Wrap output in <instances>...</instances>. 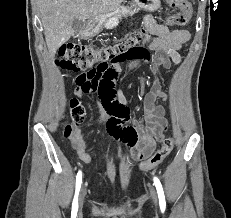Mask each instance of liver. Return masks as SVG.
<instances>
[{
    "label": "liver",
    "mask_w": 231,
    "mask_h": 218,
    "mask_svg": "<svg viewBox=\"0 0 231 218\" xmlns=\"http://www.w3.org/2000/svg\"><path fill=\"white\" fill-rule=\"evenodd\" d=\"M124 0H38V10L51 58L74 34L72 22L92 17H109Z\"/></svg>",
    "instance_id": "6515ba94"
}]
</instances>
